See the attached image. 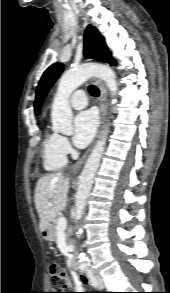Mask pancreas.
<instances>
[{
	"label": "pancreas",
	"mask_w": 170,
	"mask_h": 293,
	"mask_svg": "<svg viewBox=\"0 0 170 293\" xmlns=\"http://www.w3.org/2000/svg\"><path fill=\"white\" fill-rule=\"evenodd\" d=\"M61 216H57L54 221H53V224L50 226V230L52 232V237H53V240H56V236H57V222H58V219L60 218ZM66 237H67V240H69V237L71 236L72 234V230H71V227L67 228L66 232Z\"/></svg>",
	"instance_id": "1"
}]
</instances>
